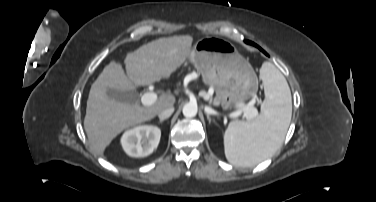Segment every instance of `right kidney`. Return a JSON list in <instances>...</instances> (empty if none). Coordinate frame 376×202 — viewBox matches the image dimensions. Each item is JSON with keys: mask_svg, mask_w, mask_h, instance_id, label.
Here are the masks:
<instances>
[{"mask_svg": "<svg viewBox=\"0 0 376 202\" xmlns=\"http://www.w3.org/2000/svg\"><path fill=\"white\" fill-rule=\"evenodd\" d=\"M161 130L157 126L139 125L124 132L121 145L131 157H145L158 146Z\"/></svg>", "mask_w": 376, "mask_h": 202, "instance_id": "obj_1", "label": "right kidney"}]
</instances>
